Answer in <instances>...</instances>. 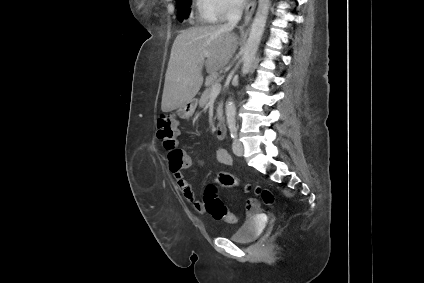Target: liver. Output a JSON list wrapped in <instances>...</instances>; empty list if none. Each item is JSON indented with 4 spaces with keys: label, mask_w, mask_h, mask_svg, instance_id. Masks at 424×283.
<instances>
[{
    "label": "liver",
    "mask_w": 424,
    "mask_h": 283,
    "mask_svg": "<svg viewBox=\"0 0 424 283\" xmlns=\"http://www.w3.org/2000/svg\"><path fill=\"white\" fill-rule=\"evenodd\" d=\"M233 27L196 26L177 35L166 71L161 102L163 112L193 100L203 84L204 66L207 73L216 75L230 62L238 45Z\"/></svg>",
    "instance_id": "liver-1"
}]
</instances>
